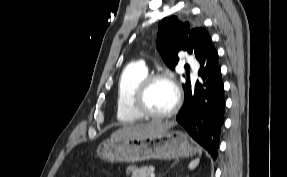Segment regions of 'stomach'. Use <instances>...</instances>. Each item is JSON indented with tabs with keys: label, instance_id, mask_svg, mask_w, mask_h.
<instances>
[{
	"label": "stomach",
	"instance_id": "stomach-1",
	"mask_svg": "<svg viewBox=\"0 0 287 177\" xmlns=\"http://www.w3.org/2000/svg\"><path fill=\"white\" fill-rule=\"evenodd\" d=\"M196 152L185 133L170 128L146 137L110 138L97 148L98 156L111 163L171 160L193 156Z\"/></svg>",
	"mask_w": 287,
	"mask_h": 177
}]
</instances>
